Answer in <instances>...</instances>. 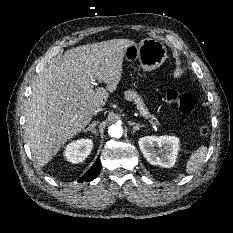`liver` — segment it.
Returning a JSON list of instances; mask_svg holds the SVG:
<instances>
[{
    "instance_id": "obj_1",
    "label": "liver",
    "mask_w": 233,
    "mask_h": 233,
    "mask_svg": "<svg viewBox=\"0 0 233 233\" xmlns=\"http://www.w3.org/2000/svg\"><path fill=\"white\" fill-rule=\"evenodd\" d=\"M129 39H112L69 49L38 76L28 98L25 133L40 166L91 121L120 82ZM106 88L94 89L95 81Z\"/></svg>"
}]
</instances>
